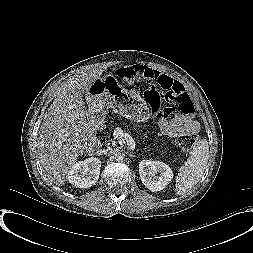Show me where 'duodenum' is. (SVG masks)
<instances>
[{
	"mask_svg": "<svg viewBox=\"0 0 253 253\" xmlns=\"http://www.w3.org/2000/svg\"><path fill=\"white\" fill-rule=\"evenodd\" d=\"M104 120V112L101 108H92L89 111V121L92 125L100 127ZM97 144L92 143L89 145V150L94 151L97 149Z\"/></svg>",
	"mask_w": 253,
	"mask_h": 253,
	"instance_id": "obj_1",
	"label": "duodenum"
}]
</instances>
